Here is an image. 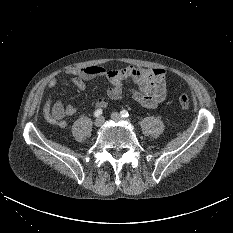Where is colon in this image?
<instances>
[{"label":"colon","instance_id":"5ec220e1","mask_svg":"<svg viewBox=\"0 0 233 233\" xmlns=\"http://www.w3.org/2000/svg\"><path fill=\"white\" fill-rule=\"evenodd\" d=\"M178 103L185 110H188L189 107H190V99L185 94L179 95V97H178Z\"/></svg>","mask_w":233,"mask_h":233}]
</instances>
